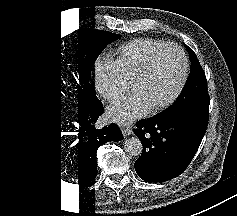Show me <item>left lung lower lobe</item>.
I'll list each match as a JSON object with an SVG mask.
<instances>
[{
  "label": "left lung lower lobe",
  "mask_w": 237,
  "mask_h": 216,
  "mask_svg": "<svg viewBox=\"0 0 237 216\" xmlns=\"http://www.w3.org/2000/svg\"><path fill=\"white\" fill-rule=\"evenodd\" d=\"M136 126L134 133L143 144V152L135 161V170L149 183L165 182L182 174L206 131L184 120L159 115L141 120Z\"/></svg>",
  "instance_id": "0a47b994"
}]
</instances>
